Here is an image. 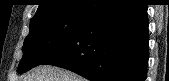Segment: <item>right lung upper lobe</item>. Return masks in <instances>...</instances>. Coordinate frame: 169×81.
<instances>
[{
    "label": "right lung upper lobe",
    "mask_w": 169,
    "mask_h": 81,
    "mask_svg": "<svg viewBox=\"0 0 169 81\" xmlns=\"http://www.w3.org/2000/svg\"><path fill=\"white\" fill-rule=\"evenodd\" d=\"M119 0H40L32 21L50 17L71 15L91 18Z\"/></svg>",
    "instance_id": "right-lung-upper-lobe-1"
}]
</instances>
